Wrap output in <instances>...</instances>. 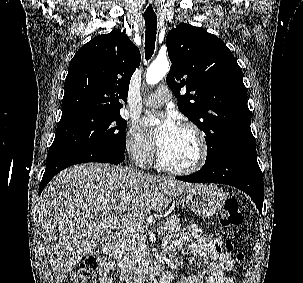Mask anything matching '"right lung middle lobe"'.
<instances>
[{
	"label": "right lung middle lobe",
	"instance_id": "right-lung-middle-lobe-1",
	"mask_svg": "<svg viewBox=\"0 0 303 283\" xmlns=\"http://www.w3.org/2000/svg\"><path fill=\"white\" fill-rule=\"evenodd\" d=\"M126 126L120 114L84 111L62 116L49 150L92 148L123 154Z\"/></svg>",
	"mask_w": 303,
	"mask_h": 283
}]
</instances>
